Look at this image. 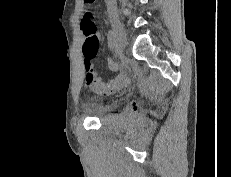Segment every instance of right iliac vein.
I'll use <instances>...</instances> for the list:
<instances>
[{
    "instance_id": "obj_1",
    "label": "right iliac vein",
    "mask_w": 231,
    "mask_h": 177,
    "mask_svg": "<svg viewBox=\"0 0 231 177\" xmlns=\"http://www.w3.org/2000/svg\"><path fill=\"white\" fill-rule=\"evenodd\" d=\"M109 20L111 22L113 32L115 35V49L116 53L119 56H122L125 48V33L123 27L117 17V14L114 10H110L108 13Z\"/></svg>"
}]
</instances>
